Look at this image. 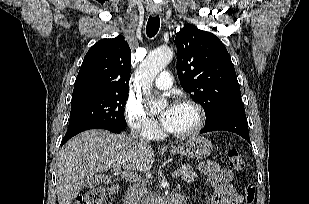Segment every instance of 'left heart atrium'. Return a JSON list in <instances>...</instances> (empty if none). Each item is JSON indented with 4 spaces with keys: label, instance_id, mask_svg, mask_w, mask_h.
Masks as SVG:
<instances>
[{
    "label": "left heart atrium",
    "instance_id": "left-heart-atrium-1",
    "mask_svg": "<svg viewBox=\"0 0 309 204\" xmlns=\"http://www.w3.org/2000/svg\"><path fill=\"white\" fill-rule=\"evenodd\" d=\"M175 105H170L161 115V122L167 128Z\"/></svg>",
    "mask_w": 309,
    "mask_h": 204
}]
</instances>
